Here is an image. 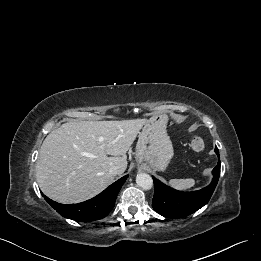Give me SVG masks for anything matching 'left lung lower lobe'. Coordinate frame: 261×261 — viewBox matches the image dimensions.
I'll use <instances>...</instances> for the list:
<instances>
[{"mask_svg": "<svg viewBox=\"0 0 261 261\" xmlns=\"http://www.w3.org/2000/svg\"><path fill=\"white\" fill-rule=\"evenodd\" d=\"M215 152L219 158L218 148ZM213 180L205 188L193 192H181L167 187L155 177L154 197L152 206L154 210L164 217L181 218L188 216L208 203L217 185L220 176V160L213 169Z\"/></svg>", "mask_w": 261, "mask_h": 261, "instance_id": "left-lung-lower-lobe-1", "label": "left lung lower lobe"}]
</instances>
